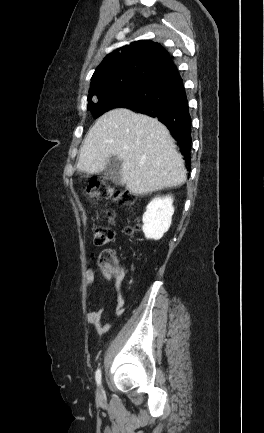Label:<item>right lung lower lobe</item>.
Here are the masks:
<instances>
[{"label":"right lung lower lobe","mask_w":264,"mask_h":433,"mask_svg":"<svg viewBox=\"0 0 264 433\" xmlns=\"http://www.w3.org/2000/svg\"><path fill=\"white\" fill-rule=\"evenodd\" d=\"M137 113L157 118L178 141L189 167L191 149V117L183 80L169 58L141 85L138 93L126 104Z\"/></svg>","instance_id":"obj_1"}]
</instances>
